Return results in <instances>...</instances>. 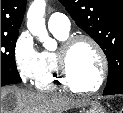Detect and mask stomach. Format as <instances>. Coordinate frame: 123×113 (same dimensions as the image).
<instances>
[{
    "label": "stomach",
    "mask_w": 123,
    "mask_h": 113,
    "mask_svg": "<svg viewBox=\"0 0 123 113\" xmlns=\"http://www.w3.org/2000/svg\"><path fill=\"white\" fill-rule=\"evenodd\" d=\"M85 113H106L105 109L98 102H91Z\"/></svg>",
    "instance_id": "obj_1"
}]
</instances>
